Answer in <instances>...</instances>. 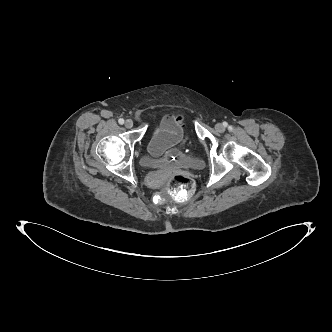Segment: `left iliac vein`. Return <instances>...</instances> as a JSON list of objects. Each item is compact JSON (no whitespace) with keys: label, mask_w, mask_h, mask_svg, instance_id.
<instances>
[{"label":"left iliac vein","mask_w":332,"mask_h":332,"mask_svg":"<svg viewBox=\"0 0 332 332\" xmlns=\"http://www.w3.org/2000/svg\"><path fill=\"white\" fill-rule=\"evenodd\" d=\"M215 129H216L218 132H220V133H222V132L225 131V127H224L221 123H217V124L215 125Z\"/></svg>","instance_id":"1"}]
</instances>
